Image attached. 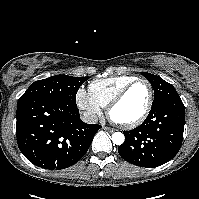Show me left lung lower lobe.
I'll return each mask as SVG.
<instances>
[{"mask_svg":"<svg viewBox=\"0 0 199 199\" xmlns=\"http://www.w3.org/2000/svg\"><path fill=\"white\" fill-rule=\"evenodd\" d=\"M185 123L180 99L172 98L152 106L146 120L137 128L123 131L125 141L118 147L120 156L140 167H158L178 153Z\"/></svg>","mask_w":199,"mask_h":199,"instance_id":"0a47b994","label":"left lung lower lobe"}]
</instances>
